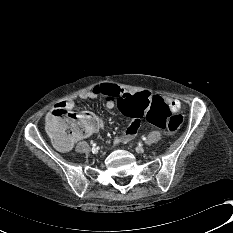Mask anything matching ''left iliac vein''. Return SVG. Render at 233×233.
<instances>
[{
    "label": "left iliac vein",
    "instance_id": "obj_1",
    "mask_svg": "<svg viewBox=\"0 0 233 233\" xmlns=\"http://www.w3.org/2000/svg\"><path fill=\"white\" fill-rule=\"evenodd\" d=\"M135 150H136V152H138V153H143L145 149H144L143 146H137V147L135 148Z\"/></svg>",
    "mask_w": 233,
    "mask_h": 233
}]
</instances>
